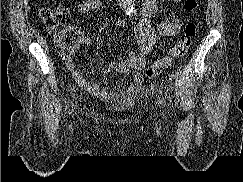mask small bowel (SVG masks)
Segmentation results:
<instances>
[{
    "mask_svg": "<svg viewBox=\"0 0 243 182\" xmlns=\"http://www.w3.org/2000/svg\"><path fill=\"white\" fill-rule=\"evenodd\" d=\"M176 3L182 0H173ZM101 6L100 0H85L78 6V11L81 14H88ZM160 10L158 0H145L141 9L139 20L130 25L124 20H117L114 22L116 28H130L135 33V43L138 51L128 52L123 59L113 61L109 64L108 69L115 73L129 74L134 72L131 83L122 92L108 91L102 88L98 83L88 81L82 71L77 67L75 59H67L66 67L71 73L75 82L79 87L98 97L100 100L114 102L120 97H133L137 95L143 84V76L140 71L145 67L146 57L149 55L156 44L165 37L174 36L179 33L182 22L180 19L162 20L155 30L149 23L153 14ZM90 39L86 35H80L77 40V48L87 45Z\"/></svg>",
    "mask_w": 243,
    "mask_h": 182,
    "instance_id": "1",
    "label": "small bowel"
}]
</instances>
